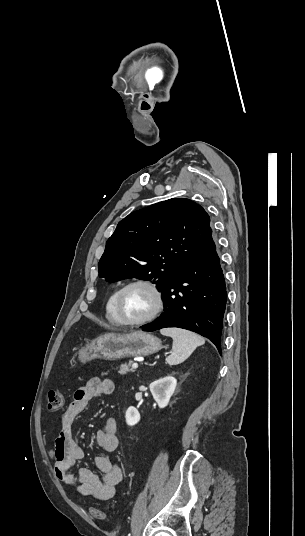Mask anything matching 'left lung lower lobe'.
Here are the masks:
<instances>
[{
    "label": "left lung lower lobe",
    "mask_w": 305,
    "mask_h": 536,
    "mask_svg": "<svg viewBox=\"0 0 305 536\" xmlns=\"http://www.w3.org/2000/svg\"><path fill=\"white\" fill-rule=\"evenodd\" d=\"M164 312L143 331L179 327L208 339L221 354V334L226 307L225 279L213 239L176 274L163 289Z\"/></svg>",
    "instance_id": "0a47b994"
}]
</instances>
